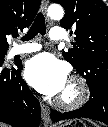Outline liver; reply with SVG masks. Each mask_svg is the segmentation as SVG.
<instances>
[{
	"instance_id": "obj_1",
	"label": "liver",
	"mask_w": 108,
	"mask_h": 127,
	"mask_svg": "<svg viewBox=\"0 0 108 127\" xmlns=\"http://www.w3.org/2000/svg\"><path fill=\"white\" fill-rule=\"evenodd\" d=\"M0 127H7V125H5V124H1Z\"/></svg>"
}]
</instances>
